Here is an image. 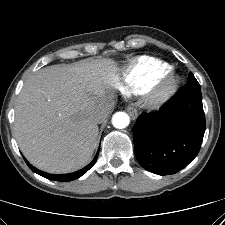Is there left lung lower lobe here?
<instances>
[{"mask_svg":"<svg viewBox=\"0 0 225 225\" xmlns=\"http://www.w3.org/2000/svg\"><path fill=\"white\" fill-rule=\"evenodd\" d=\"M204 132L201 89L188 84L159 112L138 117L133 129L136 158L152 173H177L198 154Z\"/></svg>","mask_w":225,"mask_h":225,"instance_id":"1","label":"left lung lower lobe"}]
</instances>
